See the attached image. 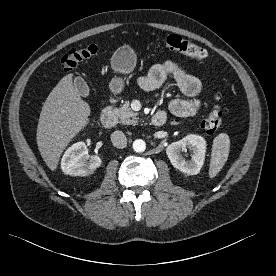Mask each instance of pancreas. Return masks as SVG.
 <instances>
[{"label":"pancreas","mask_w":276,"mask_h":276,"mask_svg":"<svg viewBox=\"0 0 276 276\" xmlns=\"http://www.w3.org/2000/svg\"><path fill=\"white\" fill-rule=\"evenodd\" d=\"M115 114L120 119V123L122 124L132 125L139 122L137 117L138 113L131 110L129 101H125L120 108L115 109Z\"/></svg>","instance_id":"cf45deb5"}]
</instances>
